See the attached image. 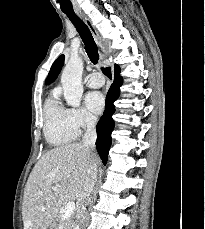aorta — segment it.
Masks as SVG:
<instances>
[{
    "label": "aorta",
    "instance_id": "762f6f07",
    "mask_svg": "<svg viewBox=\"0 0 205 229\" xmlns=\"http://www.w3.org/2000/svg\"><path fill=\"white\" fill-rule=\"evenodd\" d=\"M83 60L80 57H71L63 69L61 84L66 103L72 107H79L83 95L82 72ZM74 229H79L78 226Z\"/></svg>",
    "mask_w": 205,
    "mask_h": 229
}]
</instances>
